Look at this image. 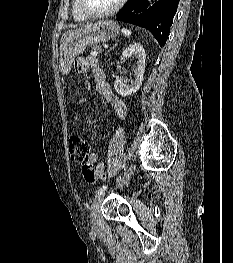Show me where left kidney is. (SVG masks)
Returning <instances> with one entry per match:
<instances>
[{
  "label": "left kidney",
  "instance_id": "1",
  "mask_svg": "<svg viewBox=\"0 0 233 263\" xmlns=\"http://www.w3.org/2000/svg\"><path fill=\"white\" fill-rule=\"evenodd\" d=\"M130 55H133L137 59L136 65L132 67L135 77L134 80L131 81L130 85H127L126 81L123 79H117L114 82L116 92L123 97L132 95L139 90L142 85L145 71L146 54L143 46L140 43H133L129 45V47L123 51L121 60L125 61Z\"/></svg>",
  "mask_w": 233,
  "mask_h": 263
}]
</instances>
